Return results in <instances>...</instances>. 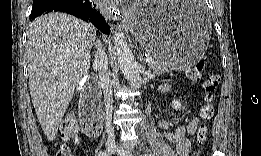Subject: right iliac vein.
I'll return each mask as SVG.
<instances>
[{"label":"right iliac vein","instance_id":"right-iliac-vein-1","mask_svg":"<svg viewBox=\"0 0 261 156\" xmlns=\"http://www.w3.org/2000/svg\"><path fill=\"white\" fill-rule=\"evenodd\" d=\"M106 149H107L109 154H114L117 150V145L115 143L108 142L106 144Z\"/></svg>","mask_w":261,"mask_h":156}]
</instances>
